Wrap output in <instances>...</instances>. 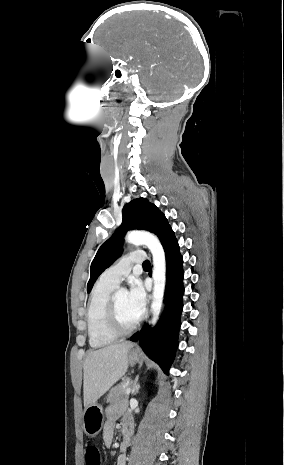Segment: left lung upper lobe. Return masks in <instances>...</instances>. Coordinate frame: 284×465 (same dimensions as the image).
Instances as JSON below:
<instances>
[{
	"mask_svg": "<svg viewBox=\"0 0 284 465\" xmlns=\"http://www.w3.org/2000/svg\"><path fill=\"white\" fill-rule=\"evenodd\" d=\"M122 224L99 248L91 263L87 291L90 292L99 275L121 255L123 235L128 230H147L158 236L162 245L173 232L165 215L145 198L127 203L122 210Z\"/></svg>",
	"mask_w": 284,
	"mask_h": 465,
	"instance_id": "obj_1",
	"label": "left lung upper lobe"
}]
</instances>
